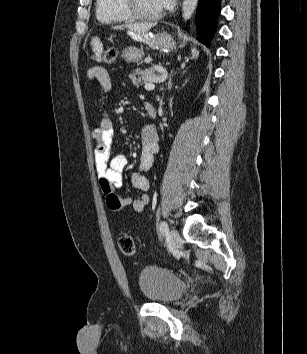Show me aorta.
<instances>
[{
	"label": "aorta",
	"instance_id": "1",
	"mask_svg": "<svg viewBox=\"0 0 307 354\" xmlns=\"http://www.w3.org/2000/svg\"><path fill=\"white\" fill-rule=\"evenodd\" d=\"M198 0H183L182 17L185 21L190 19L197 7Z\"/></svg>",
	"mask_w": 307,
	"mask_h": 354
}]
</instances>
